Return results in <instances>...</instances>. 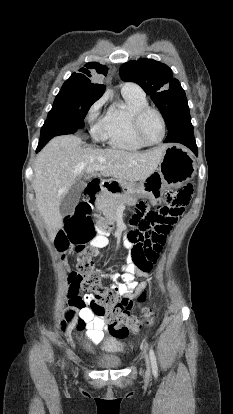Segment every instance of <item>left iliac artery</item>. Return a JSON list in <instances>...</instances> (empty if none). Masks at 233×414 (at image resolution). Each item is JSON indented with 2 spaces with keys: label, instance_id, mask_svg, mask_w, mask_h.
<instances>
[{
  "label": "left iliac artery",
  "instance_id": "obj_1",
  "mask_svg": "<svg viewBox=\"0 0 233 414\" xmlns=\"http://www.w3.org/2000/svg\"><path fill=\"white\" fill-rule=\"evenodd\" d=\"M149 354H150L152 372H153L154 376H157L158 375V366H157L156 356H155V353H154L153 349H150Z\"/></svg>",
  "mask_w": 233,
  "mask_h": 414
}]
</instances>
